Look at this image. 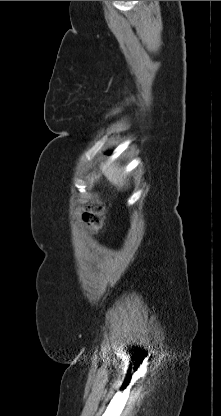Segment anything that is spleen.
<instances>
[{"label":"spleen","mask_w":221,"mask_h":416,"mask_svg":"<svg viewBox=\"0 0 221 416\" xmlns=\"http://www.w3.org/2000/svg\"><path fill=\"white\" fill-rule=\"evenodd\" d=\"M105 176L107 179L119 187H122L126 181L125 177L123 178L121 175V170L114 166H108L104 171Z\"/></svg>","instance_id":"obj_1"}]
</instances>
